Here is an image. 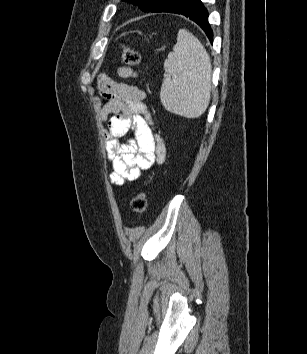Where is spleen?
Listing matches in <instances>:
<instances>
[{
	"mask_svg": "<svg viewBox=\"0 0 307 354\" xmlns=\"http://www.w3.org/2000/svg\"><path fill=\"white\" fill-rule=\"evenodd\" d=\"M164 70L160 99L165 109L186 118L201 116L210 102L212 65L203 45L186 29L179 30Z\"/></svg>",
	"mask_w": 307,
	"mask_h": 354,
	"instance_id": "spleen-1",
	"label": "spleen"
}]
</instances>
